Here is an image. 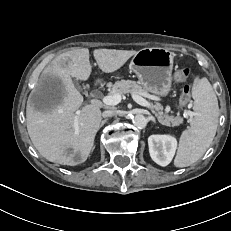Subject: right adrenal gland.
<instances>
[{
    "label": "right adrenal gland",
    "mask_w": 231,
    "mask_h": 231,
    "mask_svg": "<svg viewBox=\"0 0 231 231\" xmlns=\"http://www.w3.org/2000/svg\"><path fill=\"white\" fill-rule=\"evenodd\" d=\"M107 120H108V119H104V120L101 121V123H100V128L107 122Z\"/></svg>",
    "instance_id": "2a0ac1e0"
}]
</instances>
